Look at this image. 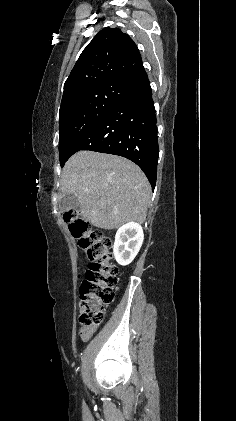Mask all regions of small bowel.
Wrapping results in <instances>:
<instances>
[{
	"mask_svg": "<svg viewBox=\"0 0 236 421\" xmlns=\"http://www.w3.org/2000/svg\"><path fill=\"white\" fill-rule=\"evenodd\" d=\"M92 333H93V330L92 331H82L81 330L80 336L83 340H88L91 337Z\"/></svg>",
	"mask_w": 236,
	"mask_h": 421,
	"instance_id": "1",
	"label": "small bowel"
}]
</instances>
